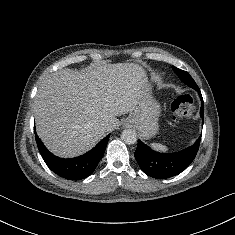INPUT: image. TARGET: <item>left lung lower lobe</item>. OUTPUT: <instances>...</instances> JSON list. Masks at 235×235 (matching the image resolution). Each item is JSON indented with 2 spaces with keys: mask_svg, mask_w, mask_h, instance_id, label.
I'll return each instance as SVG.
<instances>
[{
  "mask_svg": "<svg viewBox=\"0 0 235 235\" xmlns=\"http://www.w3.org/2000/svg\"><path fill=\"white\" fill-rule=\"evenodd\" d=\"M184 83L189 84V81L184 79ZM201 99L200 116L204 120V103L199 87H195ZM201 137L196 142L176 153L165 154L158 153L150 149L141 140H138L137 149L134 153L142 171L157 179H166L178 175L185 170L188 165L194 160L200 145Z\"/></svg>",
  "mask_w": 235,
  "mask_h": 235,
  "instance_id": "left-lung-lower-lobe-1",
  "label": "left lung lower lobe"
}]
</instances>
